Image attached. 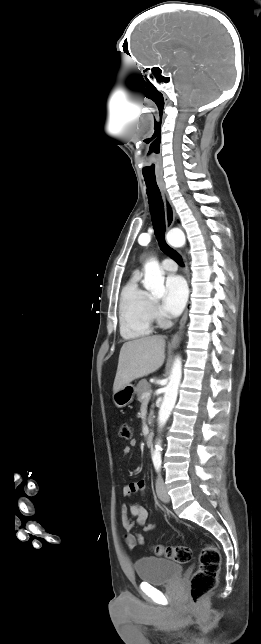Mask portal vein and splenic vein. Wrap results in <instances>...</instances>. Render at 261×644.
I'll use <instances>...</instances> for the list:
<instances>
[{"instance_id":"portal-vein-and-splenic-vein-1","label":"portal vein and splenic vein","mask_w":261,"mask_h":644,"mask_svg":"<svg viewBox=\"0 0 261 644\" xmlns=\"http://www.w3.org/2000/svg\"><path fill=\"white\" fill-rule=\"evenodd\" d=\"M150 396H151V391H148V392H145L142 395V398L145 399V400H148L150 398Z\"/></svg>"}]
</instances>
